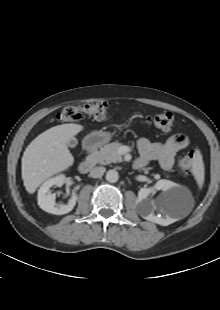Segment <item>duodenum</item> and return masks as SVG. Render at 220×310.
<instances>
[{"label": "duodenum", "mask_w": 220, "mask_h": 310, "mask_svg": "<svg viewBox=\"0 0 220 310\" xmlns=\"http://www.w3.org/2000/svg\"><path fill=\"white\" fill-rule=\"evenodd\" d=\"M95 149H96L95 144H88V143L86 144V150L89 153L93 154L95 152ZM94 164H95V159L93 157H89L80 163L79 171L81 173L87 174L92 170V168L94 167Z\"/></svg>", "instance_id": "1"}]
</instances>
